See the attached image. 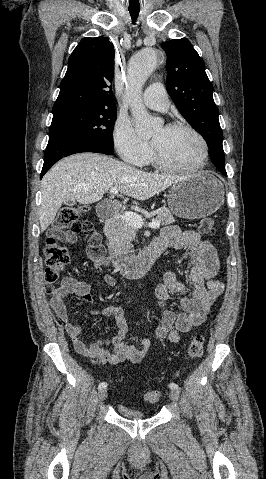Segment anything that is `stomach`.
I'll return each instance as SVG.
<instances>
[{
    "mask_svg": "<svg viewBox=\"0 0 266 479\" xmlns=\"http://www.w3.org/2000/svg\"><path fill=\"white\" fill-rule=\"evenodd\" d=\"M224 201L223 184L209 171H202L172 185L169 210L184 219H200L217 211Z\"/></svg>",
    "mask_w": 266,
    "mask_h": 479,
    "instance_id": "0dacf381",
    "label": "stomach"
}]
</instances>
